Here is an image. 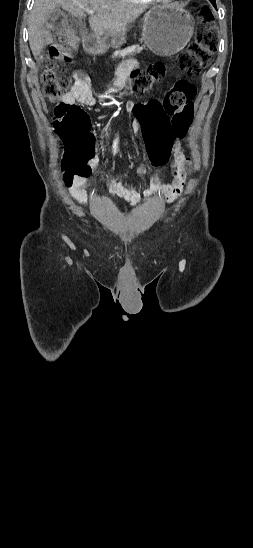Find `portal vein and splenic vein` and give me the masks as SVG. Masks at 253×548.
<instances>
[{
  "label": "portal vein and splenic vein",
  "mask_w": 253,
  "mask_h": 548,
  "mask_svg": "<svg viewBox=\"0 0 253 548\" xmlns=\"http://www.w3.org/2000/svg\"><path fill=\"white\" fill-rule=\"evenodd\" d=\"M86 11H87L88 14H94L93 10L87 9Z\"/></svg>",
  "instance_id": "1"
}]
</instances>
